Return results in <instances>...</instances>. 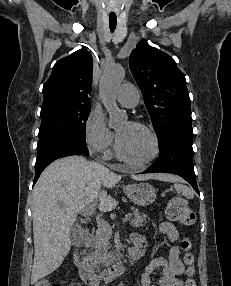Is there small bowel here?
I'll list each match as a JSON object with an SVG mask.
<instances>
[{
	"instance_id": "c3829d8e",
	"label": "small bowel",
	"mask_w": 231,
	"mask_h": 286,
	"mask_svg": "<svg viewBox=\"0 0 231 286\" xmlns=\"http://www.w3.org/2000/svg\"><path fill=\"white\" fill-rule=\"evenodd\" d=\"M158 230L166 235L171 242L178 240V232L172 223L162 221L158 224ZM131 240L134 247L140 242L145 245V240L141 235L133 234ZM156 269H162L158 286H183L178 276L184 273V264L180 259V249L177 245L172 246L170 249L168 259L158 257L151 260L141 276L142 286H154L151 284L150 276Z\"/></svg>"
}]
</instances>
